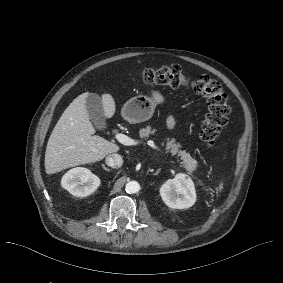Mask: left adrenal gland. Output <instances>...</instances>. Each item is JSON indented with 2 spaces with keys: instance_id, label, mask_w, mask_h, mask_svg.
Returning <instances> with one entry per match:
<instances>
[{
  "instance_id": "left-adrenal-gland-1",
  "label": "left adrenal gland",
  "mask_w": 283,
  "mask_h": 283,
  "mask_svg": "<svg viewBox=\"0 0 283 283\" xmlns=\"http://www.w3.org/2000/svg\"><path fill=\"white\" fill-rule=\"evenodd\" d=\"M161 171V169L159 168L155 173L154 175H158V173Z\"/></svg>"
}]
</instances>
